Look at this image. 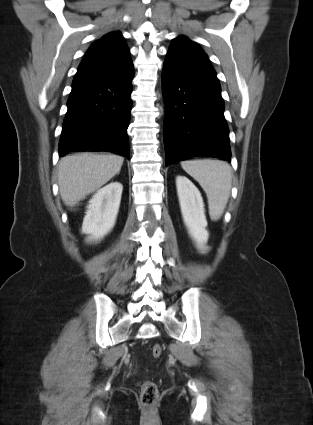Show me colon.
I'll list each match as a JSON object with an SVG mask.
<instances>
[{"mask_svg":"<svg viewBox=\"0 0 313 425\" xmlns=\"http://www.w3.org/2000/svg\"><path fill=\"white\" fill-rule=\"evenodd\" d=\"M162 354V346L155 344L152 347V356L159 358ZM159 398L158 388L155 383L146 381L143 383L140 392V399L143 406L151 408L156 405Z\"/></svg>","mask_w":313,"mask_h":425,"instance_id":"1","label":"colon"}]
</instances>
